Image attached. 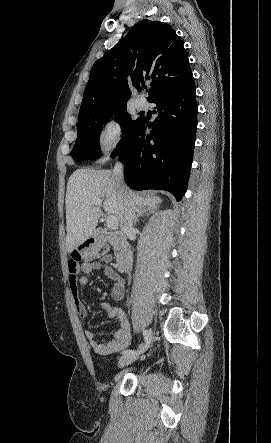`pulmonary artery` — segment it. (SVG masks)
I'll return each mask as SVG.
<instances>
[{"label":"pulmonary artery","instance_id":"obj_1","mask_svg":"<svg viewBox=\"0 0 271 443\" xmlns=\"http://www.w3.org/2000/svg\"><path fill=\"white\" fill-rule=\"evenodd\" d=\"M135 106L140 111L147 110L149 107V102L143 97H138L135 101Z\"/></svg>","mask_w":271,"mask_h":443}]
</instances>
